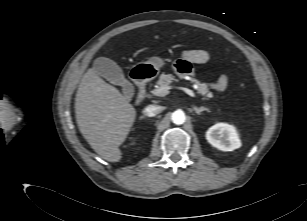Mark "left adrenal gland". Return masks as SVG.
Returning <instances> with one entry per match:
<instances>
[{"label":"left adrenal gland","instance_id":"a2214340","mask_svg":"<svg viewBox=\"0 0 307 221\" xmlns=\"http://www.w3.org/2000/svg\"><path fill=\"white\" fill-rule=\"evenodd\" d=\"M193 110L195 111L196 114L200 115L202 111H207L210 112V110L204 106H201L200 108L194 106Z\"/></svg>","mask_w":307,"mask_h":221}]
</instances>
